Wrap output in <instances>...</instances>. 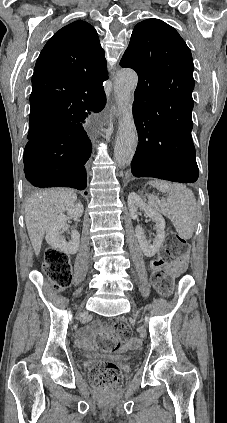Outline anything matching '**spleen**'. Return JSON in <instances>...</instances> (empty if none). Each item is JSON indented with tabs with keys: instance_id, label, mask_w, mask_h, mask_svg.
I'll list each match as a JSON object with an SVG mask.
<instances>
[{
	"instance_id": "3e777b00",
	"label": "spleen",
	"mask_w": 227,
	"mask_h": 423,
	"mask_svg": "<svg viewBox=\"0 0 227 423\" xmlns=\"http://www.w3.org/2000/svg\"><path fill=\"white\" fill-rule=\"evenodd\" d=\"M148 184L167 196L164 202H160L158 196H149V206L169 217L180 237L190 239L197 221V204L193 192L183 184H170L162 180H150Z\"/></svg>"
}]
</instances>
